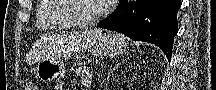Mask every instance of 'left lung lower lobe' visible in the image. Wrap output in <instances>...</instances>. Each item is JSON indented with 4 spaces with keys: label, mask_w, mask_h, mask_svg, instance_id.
I'll list each match as a JSON object with an SVG mask.
<instances>
[{
    "label": "left lung lower lobe",
    "mask_w": 216,
    "mask_h": 90,
    "mask_svg": "<svg viewBox=\"0 0 216 90\" xmlns=\"http://www.w3.org/2000/svg\"><path fill=\"white\" fill-rule=\"evenodd\" d=\"M180 0H121L98 27L159 46L171 60Z\"/></svg>",
    "instance_id": "1"
}]
</instances>
